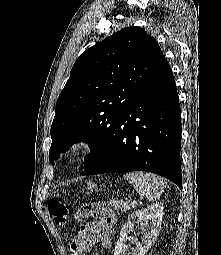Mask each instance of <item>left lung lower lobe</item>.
I'll list each match as a JSON object with an SVG mask.
<instances>
[{"label": "left lung lower lobe", "instance_id": "1", "mask_svg": "<svg viewBox=\"0 0 221 255\" xmlns=\"http://www.w3.org/2000/svg\"><path fill=\"white\" fill-rule=\"evenodd\" d=\"M180 104L169 63L125 109L99 155L82 175L148 171L182 189Z\"/></svg>", "mask_w": 221, "mask_h": 255}]
</instances>
